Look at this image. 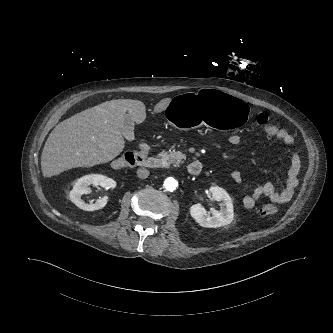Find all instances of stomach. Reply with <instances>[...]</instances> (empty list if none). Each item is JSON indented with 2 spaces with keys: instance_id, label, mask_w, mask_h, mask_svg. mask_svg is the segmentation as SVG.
I'll return each instance as SVG.
<instances>
[{
  "instance_id": "0dacf381",
  "label": "stomach",
  "mask_w": 333,
  "mask_h": 333,
  "mask_svg": "<svg viewBox=\"0 0 333 333\" xmlns=\"http://www.w3.org/2000/svg\"><path fill=\"white\" fill-rule=\"evenodd\" d=\"M166 111L170 122L182 129L207 127L236 131L245 127L251 118V109L245 100L204 90L174 97Z\"/></svg>"
}]
</instances>
